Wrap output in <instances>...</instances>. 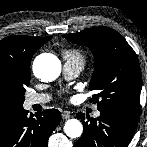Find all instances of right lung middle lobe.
<instances>
[{"mask_svg": "<svg viewBox=\"0 0 147 147\" xmlns=\"http://www.w3.org/2000/svg\"><path fill=\"white\" fill-rule=\"evenodd\" d=\"M29 83L30 74L0 65V117L23 108L25 87Z\"/></svg>", "mask_w": 147, "mask_h": 147, "instance_id": "right-lung-middle-lobe-1", "label": "right lung middle lobe"}]
</instances>
